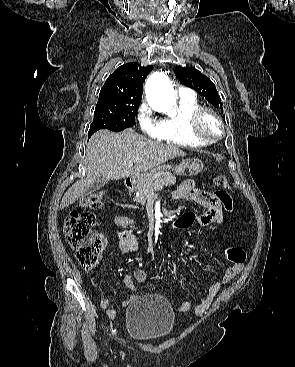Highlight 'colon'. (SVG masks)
<instances>
[{
    "instance_id": "obj_1",
    "label": "colon",
    "mask_w": 295,
    "mask_h": 367,
    "mask_svg": "<svg viewBox=\"0 0 295 367\" xmlns=\"http://www.w3.org/2000/svg\"><path fill=\"white\" fill-rule=\"evenodd\" d=\"M214 184L219 188L213 189L211 194L218 196L227 209L232 208V200L229 195V183L226 177L219 175L214 178ZM84 208H98L102 205V194L99 192L91 193L80 200ZM193 221L191 213L184 214L178 220V224L173 221L165 224L161 240L164 244L170 234L168 230L185 231ZM96 224L95 216L90 212H78L76 210L69 213L64 222V233L66 239L75 252L79 264L86 270L93 269L100 258L103 249V243L98 235L93 231ZM228 259L236 265L244 264L246 253L240 247H231L227 250Z\"/></svg>"
}]
</instances>
